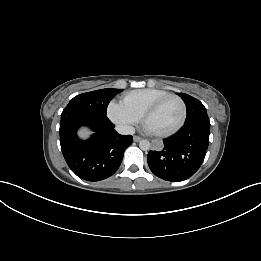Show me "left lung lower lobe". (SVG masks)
<instances>
[{"label": "left lung lower lobe", "instance_id": "0a47b994", "mask_svg": "<svg viewBox=\"0 0 261 261\" xmlns=\"http://www.w3.org/2000/svg\"><path fill=\"white\" fill-rule=\"evenodd\" d=\"M210 121L185 123L163 146L150 151L147 161L152 173L166 181H183L201 166L209 144Z\"/></svg>", "mask_w": 261, "mask_h": 261}]
</instances>
